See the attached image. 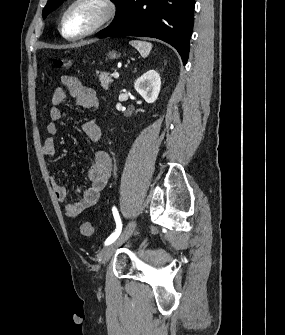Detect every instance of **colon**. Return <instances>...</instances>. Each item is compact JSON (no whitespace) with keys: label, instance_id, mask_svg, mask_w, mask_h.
Wrapping results in <instances>:
<instances>
[{"label":"colon","instance_id":"colon-1","mask_svg":"<svg viewBox=\"0 0 285 335\" xmlns=\"http://www.w3.org/2000/svg\"><path fill=\"white\" fill-rule=\"evenodd\" d=\"M53 65L57 69H68L71 66V62L67 59L58 58L53 61ZM80 233L83 236L89 237L94 232V227L89 221H83L79 225Z\"/></svg>","mask_w":285,"mask_h":335}]
</instances>
